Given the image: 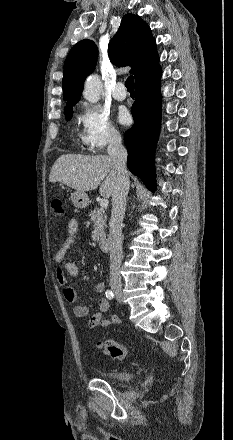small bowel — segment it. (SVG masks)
<instances>
[{
  "label": "small bowel",
  "instance_id": "1",
  "mask_svg": "<svg viewBox=\"0 0 233 440\" xmlns=\"http://www.w3.org/2000/svg\"><path fill=\"white\" fill-rule=\"evenodd\" d=\"M78 231V222L75 218H70L67 224V236L61 247L56 251L54 255V261L57 264L56 278L59 285L63 288V296L65 300L72 305L73 314L82 318L87 316L89 313V307L81 305L78 303V296L73 287L69 284L65 273L71 277H78L80 271L76 264L67 261L65 259L67 252L70 250L72 245L76 240V235ZM95 291L103 295L105 292V285L103 282H96L94 285ZM108 300L102 296L98 301V311L93 314L87 322V327L89 329H94L96 327L106 328L111 325H117L120 323V319L117 315H110L105 317V314L109 310Z\"/></svg>",
  "mask_w": 233,
  "mask_h": 440
}]
</instances>
